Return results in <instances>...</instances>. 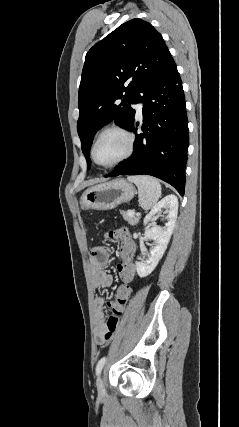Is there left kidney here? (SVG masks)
Wrapping results in <instances>:
<instances>
[{"label":"left kidney","mask_w":239,"mask_h":427,"mask_svg":"<svg viewBox=\"0 0 239 427\" xmlns=\"http://www.w3.org/2000/svg\"><path fill=\"white\" fill-rule=\"evenodd\" d=\"M166 209L167 223L164 227L154 226L152 228L146 227L145 237L153 240V246L150 249V256L145 261L136 262L137 274L140 277L148 276L157 266L162 258L169 240L171 238L173 229L175 227L177 214H178V199L175 195H168L158 202L151 211L146 215L144 224L146 225L154 215Z\"/></svg>","instance_id":"left-kidney-1"}]
</instances>
